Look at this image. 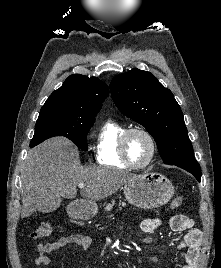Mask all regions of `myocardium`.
Returning <instances> with one entry per match:
<instances>
[{
  "label": "myocardium",
  "mask_w": 221,
  "mask_h": 268,
  "mask_svg": "<svg viewBox=\"0 0 221 268\" xmlns=\"http://www.w3.org/2000/svg\"><path fill=\"white\" fill-rule=\"evenodd\" d=\"M142 133L143 135H145L150 144H151V153H150V156H149V159L141 164V165H136L134 164L133 162H131V160L129 159V156H128V152H127V141H128V138L131 134L133 133ZM156 152H157V145H156V141H155V138L154 136L145 128H142V127H131V128H128L126 129L121 137H120V140H119V153H120V157L122 159V161L127 165V167L129 168H132V169H136V170H140V169H144L146 168L147 166H149L155 156H156Z\"/></svg>",
  "instance_id": "obj_1"
}]
</instances>
